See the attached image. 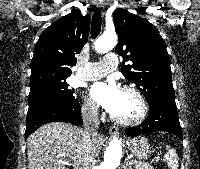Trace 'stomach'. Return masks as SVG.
I'll use <instances>...</instances> for the list:
<instances>
[{
    "instance_id": "obj_1",
    "label": "stomach",
    "mask_w": 200,
    "mask_h": 169,
    "mask_svg": "<svg viewBox=\"0 0 200 169\" xmlns=\"http://www.w3.org/2000/svg\"><path fill=\"white\" fill-rule=\"evenodd\" d=\"M130 152L139 160H146L151 154L148 140L144 137H135L128 142Z\"/></svg>"
}]
</instances>
